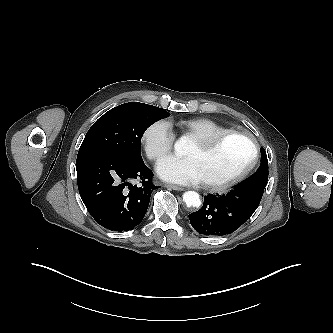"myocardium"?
Instances as JSON below:
<instances>
[{"instance_id": "myocardium-1", "label": "myocardium", "mask_w": 333, "mask_h": 333, "mask_svg": "<svg viewBox=\"0 0 333 333\" xmlns=\"http://www.w3.org/2000/svg\"><path fill=\"white\" fill-rule=\"evenodd\" d=\"M231 137H239L247 141L251 149V155L248 163L236 174L233 176L219 182H203V186L214 192L225 191L232 186L236 185L240 181H242L255 167L258 157H259V149L255 139L248 133L237 131V130H229L223 132L221 134L202 139H195L193 142L203 151H211L217 148L220 144H222L225 140Z\"/></svg>"}]
</instances>
